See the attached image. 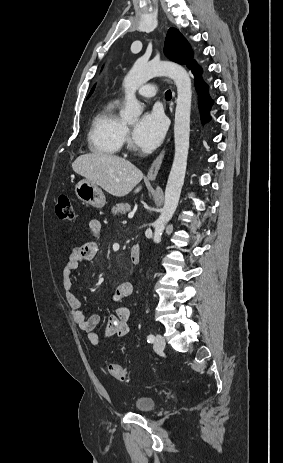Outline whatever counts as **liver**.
<instances>
[{"label": "liver", "instance_id": "1", "mask_svg": "<svg viewBox=\"0 0 283 463\" xmlns=\"http://www.w3.org/2000/svg\"><path fill=\"white\" fill-rule=\"evenodd\" d=\"M72 168L77 174L116 197L129 194L143 178L142 171L130 161L101 152L80 155L72 163ZM140 190L141 186L134 192L138 193Z\"/></svg>", "mask_w": 283, "mask_h": 463}]
</instances>
